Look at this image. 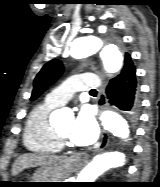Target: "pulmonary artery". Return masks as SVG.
<instances>
[{"instance_id":"obj_1","label":"pulmonary artery","mask_w":160,"mask_h":187,"mask_svg":"<svg viewBox=\"0 0 160 187\" xmlns=\"http://www.w3.org/2000/svg\"><path fill=\"white\" fill-rule=\"evenodd\" d=\"M100 85V80L95 75L75 74L60 86L47 94L45 101L53 106L66 104L75 93L90 91Z\"/></svg>"}]
</instances>
